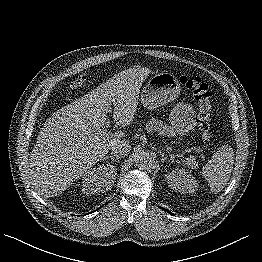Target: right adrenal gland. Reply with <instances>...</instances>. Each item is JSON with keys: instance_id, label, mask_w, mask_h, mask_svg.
Returning a JSON list of instances; mask_svg holds the SVG:
<instances>
[{"instance_id": "obj_1", "label": "right adrenal gland", "mask_w": 262, "mask_h": 262, "mask_svg": "<svg viewBox=\"0 0 262 262\" xmlns=\"http://www.w3.org/2000/svg\"><path fill=\"white\" fill-rule=\"evenodd\" d=\"M104 159H111V161L113 162V161L117 160L118 158H116L114 156H107Z\"/></svg>"}]
</instances>
